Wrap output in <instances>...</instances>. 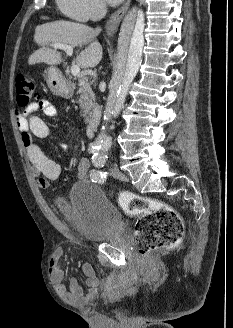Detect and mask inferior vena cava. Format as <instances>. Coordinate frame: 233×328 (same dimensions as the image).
<instances>
[{
	"mask_svg": "<svg viewBox=\"0 0 233 328\" xmlns=\"http://www.w3.org/2000/svg\"><path fill=\"white\" fill-rule=\"evenodd\" d=\"M107 13V6L104 2L98 1L93 10V18L96 20L102 19ZM97 31H100V28L96 29Z\"/></svg>",
	"mask_w": 233,
	"mask_h": 328,
	"instance_id": "1",
	"label": "inferior vena cava"
}]
</instances>
